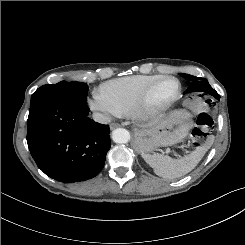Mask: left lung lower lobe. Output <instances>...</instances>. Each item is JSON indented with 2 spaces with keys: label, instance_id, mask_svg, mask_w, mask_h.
Here are the masks:
<instances>
[{
  "label": "left lung lower lobe",
  "instance_id": "0a47b994",
  "mask_svg": "<svg viewBox=\"0 0 245 245\" xmlns=\"http://www.w3.org/2000/svg\"><path fill=\"white\" fill-rule=\"evenodd\" d=\"M213 96H214L217 100H219V98H220V96H219L218 93H213Z\"/></svg>",
  "mask_w": 245,
  "mask_h": 245
}]
</instances>
